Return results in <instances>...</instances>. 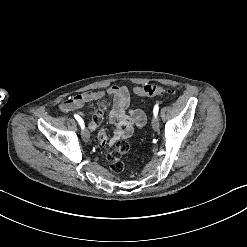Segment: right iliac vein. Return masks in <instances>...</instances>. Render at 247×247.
Masks as SVG:
<instances>
[{
  "mask_svg": "<svg viewBox=\"0 0 247 247\" xmlns=\"http://www.w3.org/2000/svg\"><path fill=\"white\" fill-rule=\"evenodd\" d=\"M82 138L84 141H88L90 139V133L88 129L83 130Z\"/></svg>",
  "mask_w": 247,
  "mask_h": 247,
  "instance_id": "63e3f726",
  "label": "right iliac vein"
}]
</instances>
